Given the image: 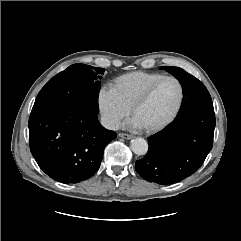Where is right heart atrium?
<instances>
[{
	"mask_svg": "<svg viewBox=\"0 0 241 241\" xmlns=\"http://www.w3.org/2000/svg\"><path fill=\"white\" fill-rule=\"evenodd\" d=\"M97 102L103 121L110 129H117L130 111L109 87L104 86L99 90Z\"/></svg>",
	"mask_w": 241,
	"mask_h": 241,
	"instance_id": "1",
	"label": "right heart atrium"
}]
</instances>
